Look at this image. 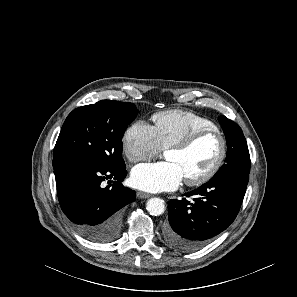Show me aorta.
<instances>
[{"label": "aorta", "mask_w": 297, "mask_h": 297, "mask_svg": "<svg viewBox=\"0 0 297 297\" xmlns=\"http://www.w3.org/2000/svg\"><path fill=\"white\" fill-rule=\"evenodd\" d=\"M146 209L150 215L159 216L165 211L164 201L160 198H151L146 203Z\"/></svg>", "instance_id": "1"}]
</instances>
